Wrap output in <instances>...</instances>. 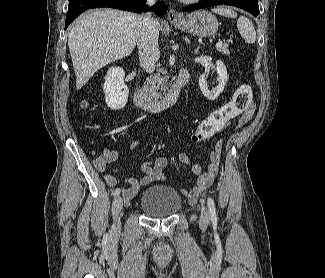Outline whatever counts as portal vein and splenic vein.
Listing matches in <instances>:
<instances>
[{"label": "portal vein and splenic vein", "mask_w": 325, "mask_h": 278, "mask_svg": "<svg viewBox=\"0 0 325 278\" xmlns=\"http://www.w3.org/2000/svg\"><path fill=\"white\" fill-rule=\"evenodd\" d=\"M223 45V42L222 40H218V42L216 43V47H220Z\"/></svg>", "instance_id": "portal-vein-and-splenic-vein-1"}]
</instances>
